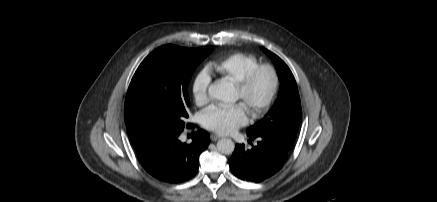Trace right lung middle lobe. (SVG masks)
I'll use <instances>...</instances> for the list:
<instances>
[{
	"label": "right lung middle lobe",
	"mask_w": 437,
	"mask_h": 202,
	"mask_svg": "<svg viewBox=\"0 0 437 202\" xmlns=\"http://www.w3.org/2000/svg\"><path fill=\"white\" fill-rule=\"evenodd\" d=\"M213 47L187 49L164 45L136 70L125 99L124 118L135 151H140L188 118V84L198 64Z\"/></svg>",
	"instance_id": "obj_1"
}]
</instances>
